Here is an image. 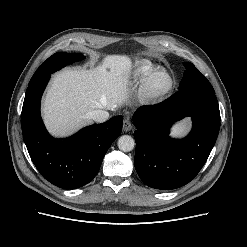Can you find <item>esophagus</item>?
<instances>
[{"label": "esophagus", "instance_id": "1", "mask_svg": "<svg viewBox=\"0 0 247 247\" xmlns=\"http://www.w3.org/2000/svg\"><path fill=\"white\" fill-rule=\"evenodd\" d=\"M132 129V124H131V122L128 120V119H125L124 121H123V130L125 131V132H128V131H130Z\"/></svg>", "mask_w": 247, "mask_h": 247}]
</instances>
